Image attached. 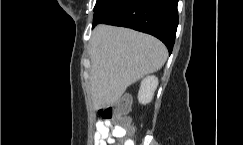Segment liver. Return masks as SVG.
Returning <instances> with one entry per match:
<instances>
[{
    "label": "liver",
    "instance_id": "obj_1",
    "mask_svg": "<svg viewBox=\"0 0 243 145\" xmlns=\"http://www.w3.org/2000/svg\"><path fill=\"white\" fill-rule=\"evenodd\" d=\"M165 45L131 29L98 25L91 37V95L95 109L115 104L128 86L162 68Z\"/></svg>",
    "mask_w": 243,
    "mask_h": 145
}]
</instances>
